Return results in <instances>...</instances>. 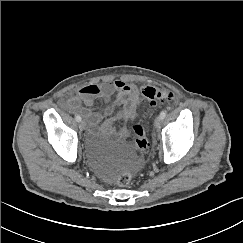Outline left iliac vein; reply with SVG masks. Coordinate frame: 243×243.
<instances>
[{"instance_id": "4c4485c4", "label": "left iliac vein", "mask_w": 243, "mask_h": 243, "mask_svg": "<svg viewBox=\"0 0 243 243\" xmlns=\"http://www.w3.org/2000/svg\"><path fill=\"white\" fill-rule=\"evenodd\" d=\"M161 122H162V119L160 118V116L155 119L154 126L156 129H160Z\"/></svg>"}]
</instances>
